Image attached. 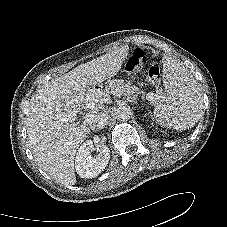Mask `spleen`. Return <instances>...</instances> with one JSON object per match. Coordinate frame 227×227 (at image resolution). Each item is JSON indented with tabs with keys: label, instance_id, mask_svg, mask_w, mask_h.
Segmentation results:
<instances>
[{
	"label": "spleen",
	"instance_id": "3e777b00",
	"mask_svg": "<svg viewBox=\"0 0 227 227\" xmlns=\"http://www.w3.org/2000/svg\"><path fill=\"white\" fill-rule=\"evenodd\" d=\"M163 81L165 94L154 109L153 118L164 127L192 128L203 114V99L195 79L180 62L166 58Z\"/></svg>",
	"mask_w": 227,
	"mask_h": 227
}]
</instances>
